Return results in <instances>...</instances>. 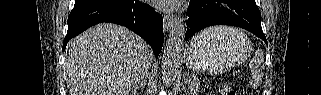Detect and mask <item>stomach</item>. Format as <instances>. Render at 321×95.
Returning a JSON list of instances; mask_svg holds the SVG:
<instances>
[{
	"label": "stomach",
	"mask_w": 321,
	"mask_h": 95,
	"mask_svg": "<svg viewBox=\"0 0 321 95\" xmlns=\"http://www.w3.org/2000/svg\"><path fill=\"white\" fill-rule=\"evenodd\" d=\"M251 52L250 39L235 29L217 37L199 34L190 42L186 63L198 72L221 73L245 61Z\"/></svg>",
	"instance_id": "obj_1"
}]
</instances>
